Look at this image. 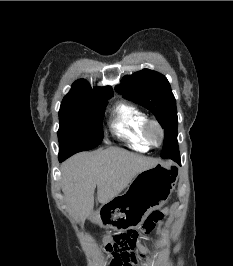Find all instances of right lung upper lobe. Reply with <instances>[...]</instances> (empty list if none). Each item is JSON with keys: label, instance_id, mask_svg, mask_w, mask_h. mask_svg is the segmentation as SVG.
I'll list each match as a JSON object with an SVG mask.
<instances>
[{"label": "right lung upper lobe", "instance_id": "1", "mask_svg": "<svg viewBox=\"0 0 233 266\" xmlns=\"http://www.w3.org/2000/svg\"><path fill=\"white\" fill-rule=\"evenodd\" d=\"M113 91L110 86L91 88L85 79H79L73 83L70 92L62 102H74L83 99H103L112 97Z\"/></svg>", "mask_w": 233, "mask_h": 266}]
</instances>
